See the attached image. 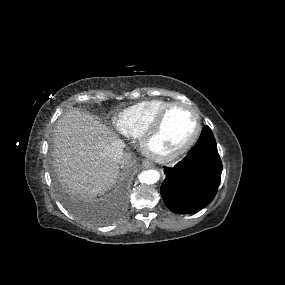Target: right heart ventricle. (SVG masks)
I'll use <instances>...</instances> for the list:
<instances>
[{
    "mask_svg": "<svg viewBox=\"0 0 285 285\" xmlns=\"http://www.w3.org/2000/svg\"><path fill=\"white\" fill-rule=\"evenodd\" d=\"M171 103L173 102L161 99L136 103L118 114L116 126L127 136L141 138L156 117Z\"/></svg>",
    "mask_w": 285,
    "mask_h": 285,
    "instance_id": "right-heart-ventricle-1",
    "label": "right heart ventricle"
}]
</instances>
